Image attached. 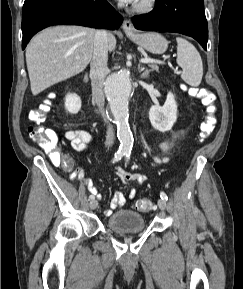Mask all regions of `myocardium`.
<instances>
[{"label": "myocardium", "mask_w": 243, "mask_h": 289, "mask_svg": "<svg viewBox=\"0 0 243 289\" xmlns=\"http://www.w3.org/2000/svg\"><path fill=\"white\" fill-rule=\"evenodd\" d=\"M158 0H138L132 10L136 13H148L157 6Z\"/></svg>", "instance_id": "myocardium-1"}]
</instances>
